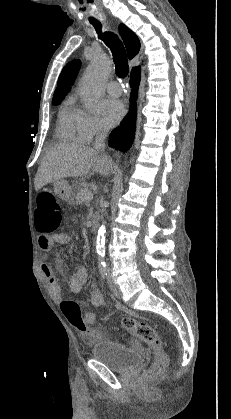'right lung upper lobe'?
<instances>
[{
	"mask_svg": "<svg viewBox=\"0 0 231 419\" xmlns=\"http://www.w3.org/2000/svg\"><path fill=\"white\" fill-rule=\"evenodd\" d=\"M120 35L124 41L128 52L129 59L134 58L140 50V42L134 32L127 28L124 24L119 26ZM81 62L76 59L68 63L62 70L59 79L58 87L54 92L53 99H63L64 95L71 89V85L80 69ZM138 67L133 68L132 70Z\"/></svg>",
	"mask_w": 231,
	"mask_h": 419,
	"instance_id": "right-lung-upper-lobe-1",
	"label": "right lung upper lobe"
}]
</instances>
